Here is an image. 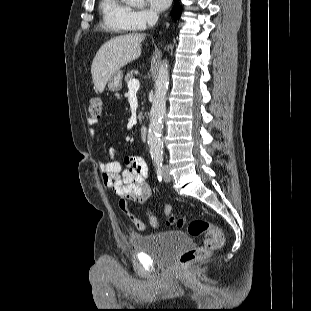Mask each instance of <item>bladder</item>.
<instances>
[{
    "label": "bladder",
    "instance_id": "obj_1",
    "mask_svg": "<svg viewBox=\"0 0 311 311\" xmlns=\"http://www.w3.org/2000/svg\"><path fill=\"white\" fill-rule=\"evenodd\" d=\"M130 244L135 251L152 254L160 262H170L190 246V238L181 231H162L132 234Z\"/></svg>",
    "mask_w": 311,
    "mask_h": 311
}]
</instances>
